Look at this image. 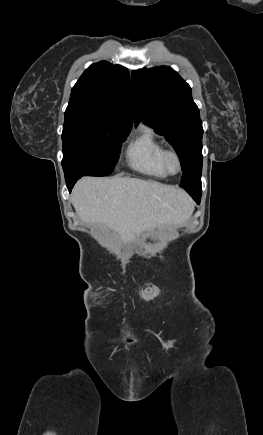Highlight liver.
Segmentation results:
<instances>
[{
  "label": "liver",
  "mask_w": 263,
  "mask_h": 435,
  "mask_svg": "<svg viewBox=\"0 0 263 435\" xmlns=\"http://www.w3.org/2000/svg\"><path fill=\"white\" fill-rule=\"evenodd\" d=\"M71 201L82 221L107 225L124 242L157 226L181 225L193 212L183 190L129 177L82 178Z\"/></svg>",
  "instance_id": "obj_1"
}]
</instances>
